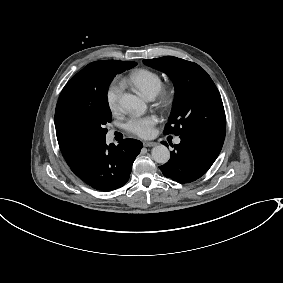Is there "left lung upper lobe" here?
I'll return each instance as SVG.
<instances>
[{"label": "left lung upper lobe", "mask_w": 283, "mask_h": 283, "mask_svg": "<svg viewBox=\"0 0 283 283\" xmlns=\"http://www.w3.org/2000/svg\"><path fill=\"white\" fill-rule=\"evenodd\" d=\"M165 72L175 86L172 113L165 134L224 142L226 118L220 93L198 64L173 56L143 60Z\"/></svg>", "instance_id": "obj_1"}]
</instances>
